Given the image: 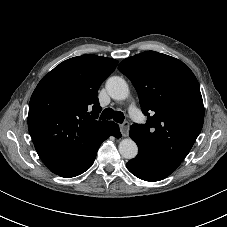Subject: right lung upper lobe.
<instances>
[{"label":"right lung upper lobe","mask_w":227,"mask_h":227,"mask_svg":"<svg viewBox=\"0 0 227 227\" xmlns=\"http://www.w3.org/2000/svg\"><path fill=\"white\" fill-rule=\"evenodd\" d=\"M118 61L82 55L63 61L46 74L29 104L28 129L43 163L60 175L84 158L110 129L98 121L97 92Z\"/></svg>","instance_id":"cb5924a9"}]
</instances>
